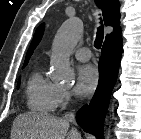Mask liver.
Instances as JSON below:
<instances>
[{
  "label": "liver",
  "mask_w": 141,
  "mask_h": 139,
  "mask_svg": "<svg viewBox=\"0 0 141 139\" xmlns=\"http://www.w3.org/2000/svg\"><path fill=\"white\" fill-rule=\"evenodd\" d=\"M69 126L70 121L64 118L27 112L14 119L11 139H81L77 131H69Z\"/></svg>",
  "instance_id": "liver-1"
}]
</instances>
